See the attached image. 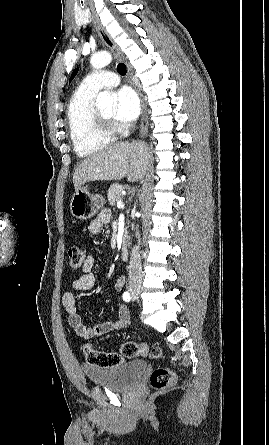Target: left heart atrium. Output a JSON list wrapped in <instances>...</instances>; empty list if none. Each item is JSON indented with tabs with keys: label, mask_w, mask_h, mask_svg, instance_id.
Wrapping results in <instances>:
<instances>
[{
	"label": "left heart atrium",
	"mask_w": 269,
	"mask_h": 445,
	"mask_svg": "<svg viewBox=\"0 0 269 445\" xmlns=\"http://www.w3.org/2000/svg\"><path fill=\"white\" fill-rule=\"evenodd\" d=\"M116 99L115 118L125 123L134 121L140 112V101L135 91L129 87H122L116 93Z\"/></svg>",
	"instance_id": "obj_1"
}]
</instances>
